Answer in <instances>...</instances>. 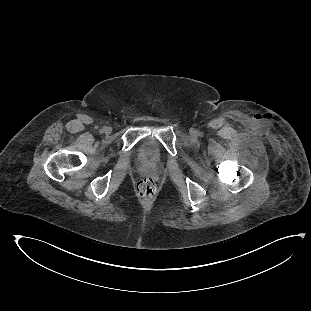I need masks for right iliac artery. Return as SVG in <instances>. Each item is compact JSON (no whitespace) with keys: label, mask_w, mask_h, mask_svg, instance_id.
Here are the masks:
<instances>
[{"label":"right iliac artery","mask_w":311,"mask_h":311,"mask_svg":"<svg viewBox=\"0 0 311 311\" xmlns=\"http://www.w3.org/2000/svg\"><path fill=\"white\" fill-rule=\"evenodd\" d=\"M105 130H106V128H102L100 131H101V132H104Z\"/></svg>","instance_id":"obj_1"}]
</instances>
